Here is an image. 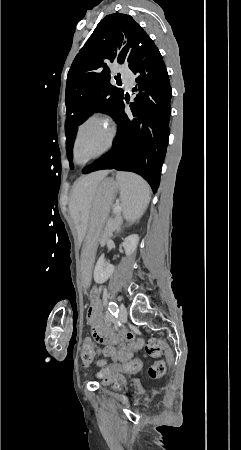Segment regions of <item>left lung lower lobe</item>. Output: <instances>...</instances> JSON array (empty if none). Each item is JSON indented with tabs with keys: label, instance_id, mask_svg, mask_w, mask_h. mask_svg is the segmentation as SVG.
Instances as JSON below:
<instances>
[{
	"label": "left lung lower lobe",
	"instance_id": "obj_1",
	"mask_svg": "<svg viewBox=\"0 0 241 450\" xmlns=\"http://www.w3.org/2000/svg\"><path fill=\"white\" fill-rule=\"evenodd\" d=\"M129 68L138 75L139 93L130 105L134 118H128L122 101L114 116L117 134L112 149L85 166L82 173L101 169L134 172L156 192L169 138L172 96L169 76L155 45Z\"/></svg>",
	"mask_w": 241,
	"mask_h": 450
}]
</instances>
